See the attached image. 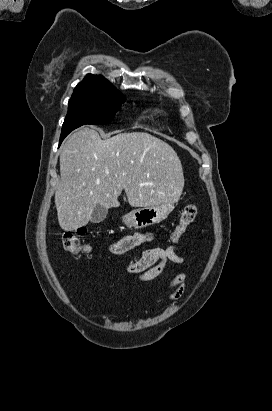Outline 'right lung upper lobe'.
I'll use <instances>...</instances> for the list:
<instances>
[{
	"label": "right lung upper lobe",
	"mask_w": 272,
	"mask_h": 411,
	"mask_svg": "<svg viewBox=\"0 0 272 411\" xmlns=\"http://www.w3.org/2000/svg\"><path fill=\"white\" fill-rule=\"evenodd\" d=\"M115 87L103 76L88 74L74 89L73 94Z\"/></svg>",
	"instance_id": "right-lung-upper-lobe-1"
}]
</instances>
